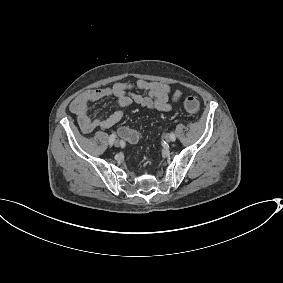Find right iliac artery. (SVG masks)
I'll return each instance as SVG.
<instances>
[{
	"mask_svg": "<svg viewBox=\"0 0 283 283\" xmlns=\"http://www.w3.org/2000/svg\"><path fill=\"white\" fill-rule=\"evenodd\" d=\"M116 135L113 133L109 137V145L112 146L115 141Z\"/></svg>",
	"mask_w": 283,
	"mask_h": 283,
	"instance_id": "right-iliac-artery-1",
	"label": "right iliac artery"
}]
</instances>
